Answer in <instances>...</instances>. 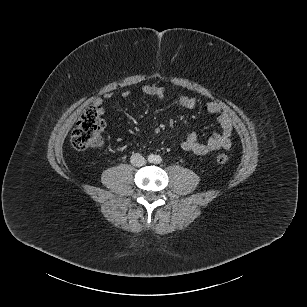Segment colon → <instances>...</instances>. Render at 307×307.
<instances>
[{"mask_svg":"<svg viewBox=\"0 0 307 307\" xmlns=\"http://www.w3.org/2000/svg\"><path fill=\"white\" fill-rule=\"evenodd\" d=\"M103 129L104 121L98 108L95 106L86 108L72 131L70 139L72 146L77 150L100 147L103 143ZM217 162L221 165L226 164L228 156L224 153L219 154Z\"/></svg>","mask_w":307,"mask_h":307,"instance_id":"obj_1","label":"colon"}]
</instances>
